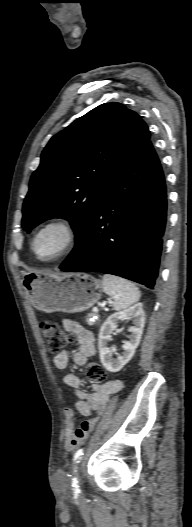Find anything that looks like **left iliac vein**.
<instances>
[{
  "mask_svg": "<svg viewBox=\"0 0 192 527\" xmlns=\"http://www.w3.org/2000/svg\"><path fill=\"white\" fill-rule=\"evenodd\" d=\"M74 477L80 480V476H79L78 470H75V475H74Z\"/></svg>",
  "mask_w": 192,
  "mask_h": 527,
  "instance_id": "left-iliac-vein-1",
  "label": "left iliac vein"
}]
</instances>
